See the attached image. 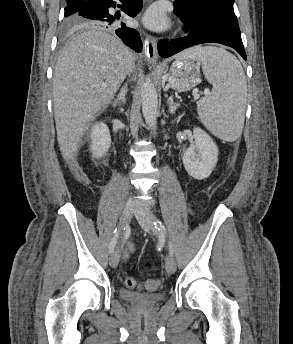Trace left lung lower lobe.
<instances>
[{"mask_svg": "<svg viewBox=\"0 0 293 344\" xmlns=\"http://www.w3.org/2000/svg\"><path fill=\"white\" fill-rule=\"evenodd\" d=\"M174 13L182 17L187 26L188 35L178 39H163L158 43V52L161 57H170L188 47L203 43H220L235 49L243 59H247L241 34L215 22L212 19H203L193 11L182 9L174 2Z\"/></svg>", "mask_w": 293, "mask_h": 344, "instance_id": "obj_1", "label": "left lung lower lobe"}]
</instances>
